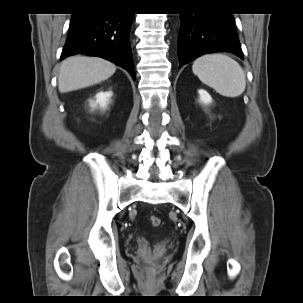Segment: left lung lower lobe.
<instances>
[{
    "instance_id": "obj_1",
    "label": "left lung lower lobe",
    "mask_w": 303,
    "mask_h": 303,
    "mask_svg": "<svg viewBox=\"0 0 303 303\" xmlns=\"http://www.w3.org/2000/svg\"><path fill=\"white\" fill-rule=\"evenodd\" d=\"M179 63L214 52H231L244 59L231 13L180 14Z\"/></svg>"
}]
</instances>
